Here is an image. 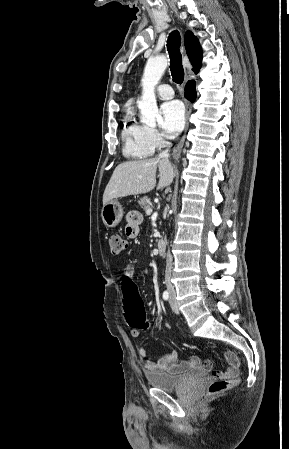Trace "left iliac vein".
Here are the masks:
<instances>
[{
    "label": "left iliac vein",
    "mask_w": 289,
    "mask_h": 449,
    "mask_svg": "<svg viewBox=\"0 0 289 449\" xmlns=\"http://www.w3.org/2000/svg\"><path fill=\"white\" fill-rule=\"evenodd\" d=\"M169 302H170V306H171L173 312L178 314L179 313V309H178V305H177V303L175 301V298H174L173 294L171 295Z\"/></svg>",
    "instance_id": "1"
}]
</instances>
